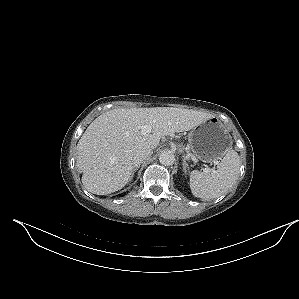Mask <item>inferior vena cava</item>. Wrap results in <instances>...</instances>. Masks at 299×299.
I'll return each instance as SVG.
<instances>
[{"label":"inferior vena cava","mask_w":299,"mask_h":299,"mask_svg":"<svg viewBox=\"0 0 299 299\" xmlns=\"http://www.w3.org/2000/svg\"><path fill=\"white\" fill-rule=\"evenodd\" d=\"M153 153L152 149H143L137 151L133 156V166L137 167L140 163L147 157L151 156Z\"/></svg>","instance_id":"obj_1"}]
</instances>
